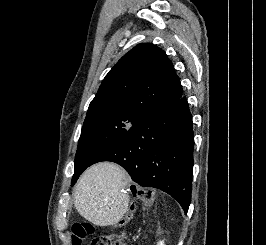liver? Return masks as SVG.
Listing matches in <instances>:
<instances>
[{"label":"liver","instance_id":"liver-1","mask_svg":"<svg viewBox=\"0 0 266 245\" xmlns=\"http://www.w3.org/2000/svg\"><path fill=\"white\" fill-rule=\"evenodd\" d=\"M128 179L126 171L115 163H98L87 169L74 193L78 213L98 227L119 223L129 207L124 191Z\"/></svg>","mask_w":266,"mask_h":245}]
</instances>
